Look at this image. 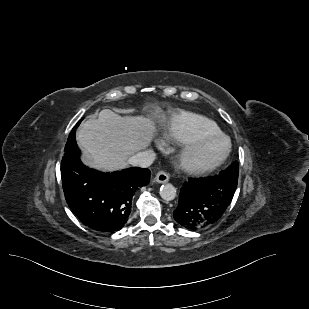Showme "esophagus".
Returning a JSON list of instances; mask_svg holds the SVG:
<instances>
[{
	"mask_svg": "<svg viewBox=\"0 0 309 309\" xmlns=\"http://www.w3.org/2000/svg\"><path fill=\"white\" fill-rule=\"evenodd\" d=\"M169 180V174L165 171H159L155 176V181L157 183H166Z\"/></svg>",
	"mask_w": 309,
	"mask_h": 309,
	"instance_id": "esophagus-1",
	"label": "esophagus"
}]
</instances>
